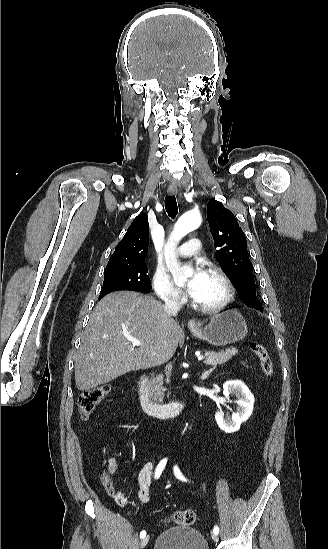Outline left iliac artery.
Returning a JSON list of instances; mask_svg holds the SVG:
<instances>
[{
    "label": "left iliac artery",
    "instance_id": "44dca946",
    "mask_svg": "<svg viewBox=\"0 0 328 549\" xmlns=\"http://www.w3.org/2000/svg\"><path fill=\"white\" fill-rule=\"evenodd\" d=\"M174 474H175V476H176L178 479H180V480H182V481H187V479H185V478L183 477L181 471L179 470V468H178L176 465L174 466ZM213 532H214L215 534H218V533H219V528H218V526H215V527H214Z\"/></svg>",
    "mask_w": 328,
    "mask_h": 549
}]
</instances>
